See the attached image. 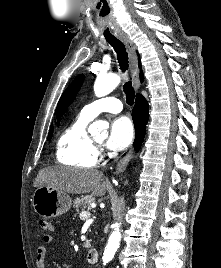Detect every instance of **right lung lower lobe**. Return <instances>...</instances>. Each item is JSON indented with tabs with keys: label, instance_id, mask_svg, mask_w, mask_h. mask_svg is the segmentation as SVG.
<instances>
[{
	"label": "right lung lower lobe",
	"instance_id": "right-lung-lower-lobe-1",
	"mask_svg": "<svg viewBox=\"0 0 221 268\" xmlns=\"http://www.w3.org/2000/svg\"><path fill=\"white\" fill-rule=\"evenodd\" d=\"M148 111L149 107L146 99L142 95L137 94L135 105L132 110V118L136 135L134 145L137 151L140 149V146L145 136L146 124L149 118Z\"/></svg>",
	"mask_w": 221,
	"mask_h": 268
}]
</instances>
